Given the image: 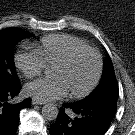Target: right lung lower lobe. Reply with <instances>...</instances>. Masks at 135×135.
<instances>
[{
    "mask_svg": "<svg viewBox=\"0 0 135 135\" xmlns=\"http://www.w3.org/2000/svg\"><path fill=\"white\" fill-rule=\"evenodd\" d=\"M20 89V83L9 88H0V135H14L18 128L20 110L31 106V98L17 104L12 103Z\"/></svg>",
    "mask_w": 135,
    "mask_h": 135,
    "instance_id": "obj_1",
    "label": "right lung lower lobe"
}]
</instances>
